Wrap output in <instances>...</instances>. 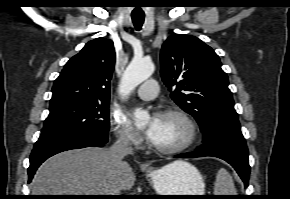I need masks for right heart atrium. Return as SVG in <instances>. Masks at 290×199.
<instances>
[{"mask_svg":"<svg viewBox=\"0 0 290 199\" xmlns=\"http://www.w3.org/2000/svg\"><path fill=\"white\" fill-rule=\"evenodd\" d=\"M110 125L120 143L134 148L141 145V136L124 116L116 113L111 114Z\"/></svg>","mask_w":290,"mask_h":199,"instance_id":"obj_1","label":"right heart atrium"}]
</instances>
